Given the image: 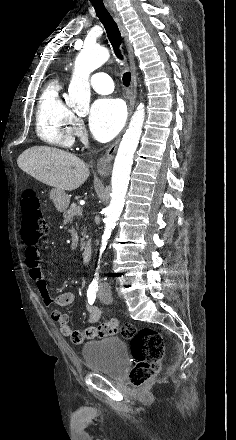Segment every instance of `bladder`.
Wrapping results in <instances>:
<instances>
[{
  "label": "bladder",
  "mask_w": 236,
  "mask_h": 440,
  "mask_svg": "<svg viewBox=\"0 0 236 440\" xmlns=\"http://www.w3.org/2000/svg\"><path fill=\"white\" fill-rule=\"evenodd\" d=\"M82 355L89 370L110 378H119L129 363L126 343L116 336L86 342L82 347Z\"/></svg>",
  "instance_id": "bladder-1"
}]
</instances>
